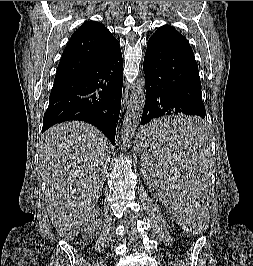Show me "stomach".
<instances>
[{"mask_svg": "<svg viewBox=\"0 0 253 266\" xmlns=\"http://www.w3.org/2000/svg\"><path fill=\"white\" fill-rule=\"evenodd\" d=\"M140 138H145L144 135H143V132H141V133L139 134V136H138V143H139V139H140Z\"/></svg>", "mask_w": 253, "mask_h": 266, "instance_id": "stomach-1", "label": "stomach"}]
</instances>
